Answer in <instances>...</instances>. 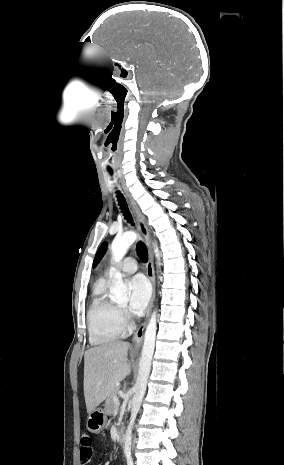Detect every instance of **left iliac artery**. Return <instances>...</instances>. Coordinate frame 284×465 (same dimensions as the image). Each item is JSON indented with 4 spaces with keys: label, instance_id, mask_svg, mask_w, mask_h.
<instances>
[{
    "label": "left iliac artery",
    "instance_id": "left-iliac-artery-1",
    "mask_svg": "<svg viewBox=\"0 0 284 465\" xmlns=\"http://www.w3.org/2000/svg\"><path fill=\"white\" fill-rule=\"evenodd\" d=\"M127 465H134L132 459H128V460H127Z\"/></svg>",
    "mask_w": 284,
    "mask_h": 465
}]
</instances>
